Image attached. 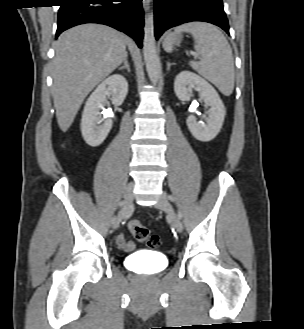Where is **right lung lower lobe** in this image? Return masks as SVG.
<instances>
[{"label":"right lung lower lobe","mask_w":304,"mask_h":329,"mask_svg":"<svg viewBox=\"0 0 304 329\" xmlns=\"http://www.w3.org/2000/svg\"><path fill=\"white\" fill-rule=\"evenodd\" d=\"M141 1L61 0L56 38L60 33L73 26L84 23H99L126 33L141 48L144 34Z\"/></svg>","instance_id":"obj_1"}]
</instances>
